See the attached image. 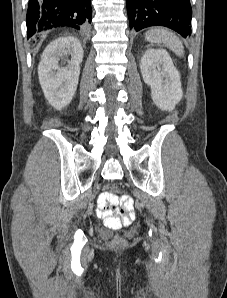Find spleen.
<instances>
[{
    "label": "spleen",
    "instance_id": "1",
    "mask_svg": "<svg viewBox=\"0 0 227 298\" xmlns=\"http://www.w3.org/2000/svg\"><path fill=\"white\" fill-rule=\"evenodd\" d=\"M145 39L151 43H163L176 55H184V46L181 40L172 32L163 28H155L145 33Z\"/></svg>",
    "mask_w": 227,
    "mask_h": 298
}]
</instances>
